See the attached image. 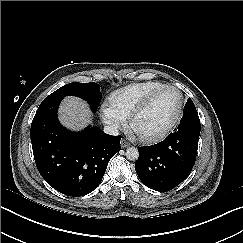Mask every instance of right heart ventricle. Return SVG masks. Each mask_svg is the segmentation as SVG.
<instances>
[{
  "label": "right heart ventricle",
  "instance_id": "obj_1",
  "mask_svg": "<svg viewBox=\"0 0 243 243\" xmlns=\"http://www.w3.org/2000/svg\"><path fill=\"white\" fill-rule=\"evenodd\" d=\"M164 86L166 85L158 80L131 83L111 94L110 108L117 115L127 118L137 105Z\"/></svg>",
  "mask_w": 243,
  "mask_h": 243
}]
</instances>
